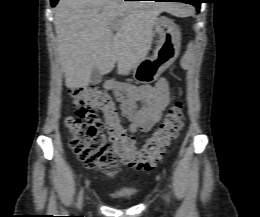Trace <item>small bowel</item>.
I'll use <instances>...</instances> for the list:
<instances>
[{
	"instance_id": "c3829d8e",
	"label": "small bowel",
	"mask_w": 260,
	"mask_h": 217,
	"mask_svg": "<svg viewBox=\"0 0 260 217\" xmlns=\"http://www.w3.org/2000/svg\"><path fill=\"white\" fill-rule=\"evenodd\" d=\"M104 88L117 98L122 117L129 122L131 132H147L157 124L167 108L172 88L166 78L152 85L135 86L108 80ZM140 104V106H138Z\"/></svg>"
}]
</instances>
